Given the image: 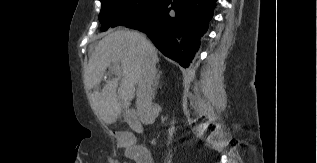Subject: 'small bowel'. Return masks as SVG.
<instances>
[{
    "instance_id": "obj_1",
    "label": "small bowel",
    "mask_w": 317,
    "mask_h": 163,
    "mask_svg": "<svg viewBox=\"0 0 317 163\" xmlns=\"http://www.w3.org/2000/svg\"><path fill=\"white\" fill-rule=\"evenodd\" d=\"M122 141H124L126 145L127 157L131 158L135 163H153V159L150 153L142 157L137 156L132 148V145L125 137H122Z\"/></svg>"
}]
</instances>
